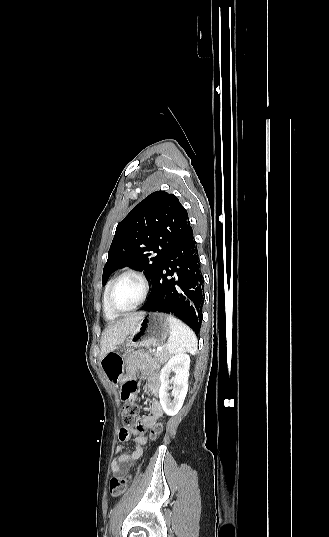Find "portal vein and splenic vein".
<instances>
[{
	"label": "portal vein and splenic vein",
	"mask_w": 329,
	"mask_h": 537,
	"mask_svg": "<svg viewBox=\"0 0 329 537\" xmlns=\"http://www.w3.org/2000/svg\"><path fill=\"white\" fill-rule=\"evenodd\" d=\"M162 350V347H157V351H161Z\"/></svg>",
	"instance_id": "portal-vein-and-splenic-vein-1"
}]
</instances>
